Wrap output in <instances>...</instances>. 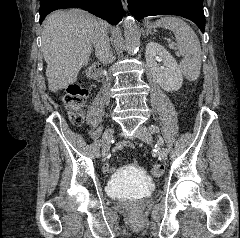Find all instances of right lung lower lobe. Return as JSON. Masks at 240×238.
<instances>
[{"label": "right lung lower lobe", "instance_id": "1", "mask_svg": "<svg viewBox=\"0 0 240 238\" xmlns=\"http://www.w3.org/2000/svg\"><path fill=\"white\" fill-rule=\"evenodd\" d=\"M72 7L87 10L113 25L123 17L121 0H40V23L50 12Z\"/></svg>", "mask_w": 240, "mask_h": 238}]
</instances>
